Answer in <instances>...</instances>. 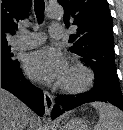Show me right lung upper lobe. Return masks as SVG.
I'll return each mask as SVG.
<instances>
[{"label": "right lung upper lobe", "instance_id": "right-lung-upper-lobe-1", "mask_svg": "<svg viewBox=\"0 0 123 130\" xmlns=\"http://www.w3.org/2000/svg\"><path fill=\"white\" fill-rule=\"evenodd\" d=\"M31 0H1V44H7L6 36L17 29V23L27 17Z\"/></svg>", "mask_w": 123, "mask_h": 130}]
</instances>
